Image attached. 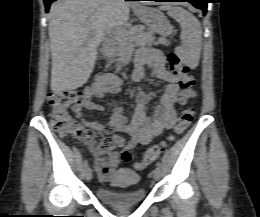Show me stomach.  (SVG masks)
I'll return each mask as SVG.
<instances>
[{
  "mask_svg": "<svg viewBox=\"0 0 260 217\" xmlns=\"http://www.w3.org/2000/svg\"><path fill=\"white\" fill-rule=\"evenodd\" d=\"M136 14L151 31L161 36H169L173 31V27L160 9L138 7Z\"/></svg>",
  "mask_w": 260,
  "mask_h": 217,
  "instance_id": "0dacf381",
  "label": "stomach"
}]
</instances>
